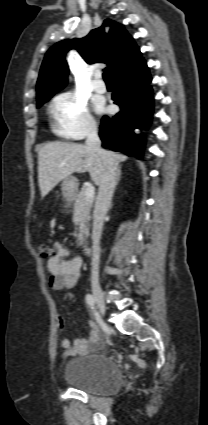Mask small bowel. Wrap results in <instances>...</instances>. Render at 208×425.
<instances>
[{
    "mask_svg": "<svg viewBox=\"0 0 208 425\" xmlns=\"http://www.w3.org/2000/svg\"><path fill=\"white\" fill-rule=\"evenodd\" d=\"M53 249L54 255L47 261L50 288L56 291L73 288L81 276L82 259L78 256L69 258V249L60 242H55ZM58 325L61 328L64 326L63 318H58ZM88 325L89 333L87 337L61 341V348L66 356L84 354L98 345L99 328L93 321H89Z\"/></svg>",
    "mask_w": 208,
    "mask_h": 425,
    "instance_id": "obj_1",
    "label": "small bowel"
}]
</instances>
